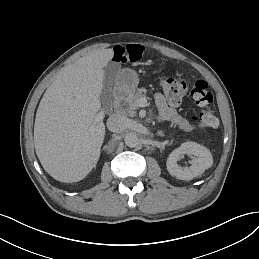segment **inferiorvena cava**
Segmentation results:
<instances>
[{
    "mask_svg": "<svg viewBox=\"0 0 259 259\" xmlns=\"http://www.w3.org/2000/svg\"><path fill=\"white\" fill-rule=\"evenodd\" d=\"M126 117L120 114H113L107 119V128L115 133L125 129Z\"/></svg>",
    "mask_w": 259,
    "mask_h": 259,
    "instance_id": "602c4592",
    "label": "inferior vena cava"
}]
</instances>
